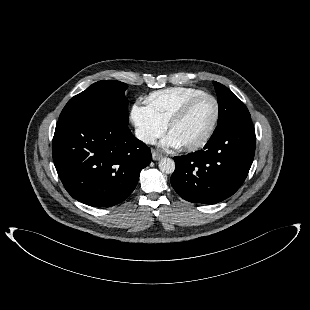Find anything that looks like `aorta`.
Wrapping results in <instances>:
<instances>
[{
    "label": "aorta",
    "mask_w": 310,
    "mask_h": 310,
    "mask_svg": "<svg viewBox=\"0 0 310 310\" xmlns=\"http://www.w3.org/2000/svg\"><path fill=\"white\" fill-rule=\"evenodd\" d=\"M158 167L162 173L172 174L175 170V162L171 158H162L159 161Z\"/></svg>",
    "instance_id": "aorta-1"
}]
</instances>
